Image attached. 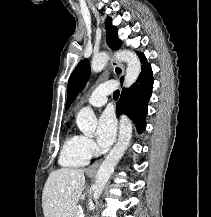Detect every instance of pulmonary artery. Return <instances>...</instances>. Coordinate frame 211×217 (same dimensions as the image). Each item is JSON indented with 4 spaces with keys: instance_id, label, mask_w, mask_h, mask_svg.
<instances>
[{
    "instance_id": "obj_1",
    "label": "pulmonary artery",
    "mask_w": 211,
    "mask_h": 217,
    "mask_svg": "<svg viewBox=\"0 0 211 217\" xmlns=\"http://www.w3.org/2000/svg\"><path fill=\"white\" fill-rule=\"evenodd\" d=\"M117 84L113 80H108L97 85L87 98V104L93 107H101L106 104L107 97L110 95Z\"/></svg>"
}]
</instances>
